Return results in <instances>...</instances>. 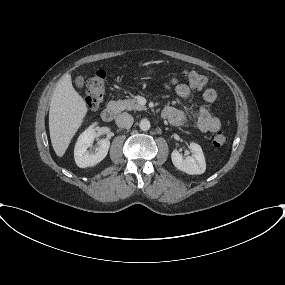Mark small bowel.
Here are the masks:
<instances>
[{
  "instance_id": "c3829d8e",
  "label": "small bowel",
  "mask_w": 285,
  "mask_h": 285,
  "mask_svg": "<svg viewBox=\"0 0 285 285\" xmlns=\"http://www.w3.org/2000/svg\"><path fill=\"white\" fill-rule=\"evenodd\" d=\"M166 88L174 89L176 94L184 100H187L191 94L190 87L177 78L170 79L166 84ZM216 99V89L207 88L203 93V105L192 114L193 122L189 121L185 112L174 106L166 107L162 112V116L174 126L194 128L204 133H215L220 130L221 123L209 108Z\"/></svg>"
}]
</instances>
